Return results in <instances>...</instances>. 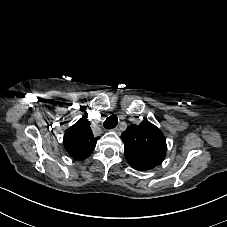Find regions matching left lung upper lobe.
<instances>
[{"instance_id":"obj_1","label":"left lung upper lobe","mask_w":227,"mask_h":227,"mask_svg":"<svg viewBox=\"0 0 227 227\" xmlns=\"http://www.w3.org/2000/svg\"><path fill=\"white\" fill-rule=\"evenodd\" d=\"M125 157L130 166L139 171L159 165L166 155V140L162 132L148 120L130 125L121 135Z\"/></svg>"}]
</instances>
